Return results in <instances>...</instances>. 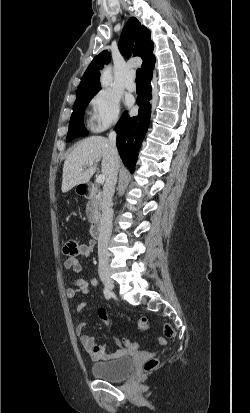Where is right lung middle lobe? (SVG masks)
I'll list each match as a JSON object with an SVG mask.
<instances>
[{"label": "right lung middle lobe", "mask_w": 250, "mask_h": 413, "mask_svg": "<svg viewBox=\"0 0 250 413\" xmlns=\"http://www.w3.org/2000/svg\"><path fill=\"white\" fill-rule=\"evenodd\" d=\"M96 93L97 92H93L76 96L73 113L70 118L69 131L67 134L66 142H70L76 137L85 136L88 134L84 127L83 116L86 106Z\"/></svg>", "instance_id": "right-lung-middle-lobe-1"}]
</instances>
